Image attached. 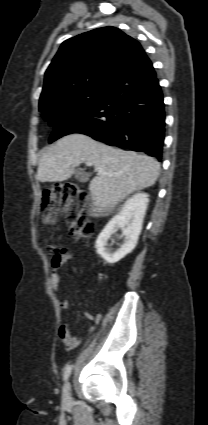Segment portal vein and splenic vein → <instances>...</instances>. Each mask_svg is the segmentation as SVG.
<instances>
[{"mask_svg": "<svg viewBox=\"0 0 208 425\" xmlns=\"http://www.w3.org/2000/svg\"><path fill=\"white\" fill-rule=\"evenodd\" d=\"M86 166L91 167L92 166V163L91 162H86ZM98 172L100 174H104V171L103 170H98Z\"/></svg>", "mask_w": 208, "mask_h": 425, "instance_id": "obj_1", "label": "portal vein and splenic vein"}]
</instances>
